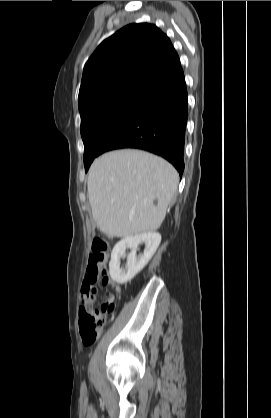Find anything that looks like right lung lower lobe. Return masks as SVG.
<instances>
[{"label": "right lung lower lobe", "instance_id": "right-lung-lower-lobe-1", "mask_svg": "<svg viewBox=\"0 0 271 418\" xmlns=\"http://www.w3.org/2000/svg\"><path fill=\"white\" fill-rule=\"evenodd\" d=\"M187 119V88L183 75L115 131L100 154L120 148L143 149L167 159L181 176Z\"/></svg>", "mask_w": 271, "mask_h": 418}]
</instances>
